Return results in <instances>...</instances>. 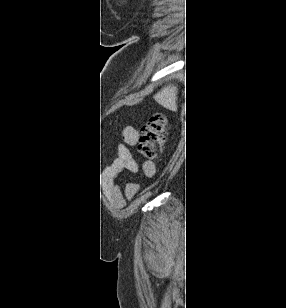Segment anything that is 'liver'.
Instances as JSON below:
<instances>
[{
    "mask_svg": "<svg viewBox=\"0 0 286 308\" xmlns=\"http://www.w3.org/2000/svg\"><path fill=\"white\" fill-rule=\"evenodd\" d=\"M154 99L164 108L176 111L178 109V86L169 84L163 87L154 95Z\"/></svg>",
    "mask_w": 286,
    "mask_h": 308,
    "instance_id": "1",
    "label": "liver"
}]
</instances>
